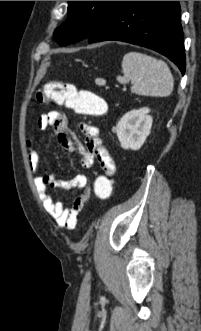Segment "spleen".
<instances>
[{
	"mask_svg": "<svg viewBox=\"0 0 201 331\" xmlns=\"http://www.w3.org/2000/svg\"><path fill=\"white\" fill-rule=\"evenodd\" d=\"M123 77L118 82L133 83L132 91L138 95L169 96L174 80L167 64L157 58L138 52H129L122 60Z\"/></svg>",
	"mask_w": 201,
	"mask_h": 331,
	"instance_id": "spleen-1",
	"label": "spleen"
}]
</instances>
